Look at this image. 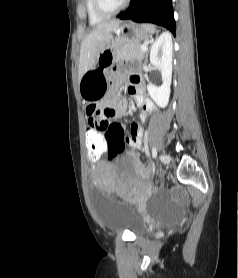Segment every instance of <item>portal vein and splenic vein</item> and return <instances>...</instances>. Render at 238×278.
Returning <instances> with one entry per match:
<instances>
[{
	"label": "portal vein and splenic vein",
	"instance_id": "portal-vein-and-splenic-vein-1",
	"mask_svg": "<svg viewBox=\"0 0 238 278\" xmlns=\"http://www.w3.org/2000/svg\"><path fill=\"white\" fill-rule=\"evenodd\" d=\"M140 49L143 50V51H146L147 47L145 45H141Z\"/></svg>",
	"mask_w": 238,
	"mask_h": 278
}]
</instances>
